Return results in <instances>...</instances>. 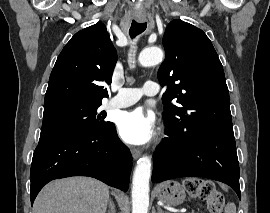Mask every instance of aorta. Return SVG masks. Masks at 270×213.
<instances>
[{
	"label": "aorta",
	"mask_w": 270,
	"mask_h": 213,
	"mask_svg": "<svg viewBox=\"0 0 270 213\" xmlns=\"http://www.w3.org/2000/svg\"><path fill=\"white\" fill-rule=\"evenodd\" d=\"M163 59V51L158 47L145 48L139 54L142 66H152ZM151 176V159L142 156L134 170L132 180V213H147L149 206V179Z\"/></svg>",
	"instance_id": "aorta-1"
}]
</instances>
